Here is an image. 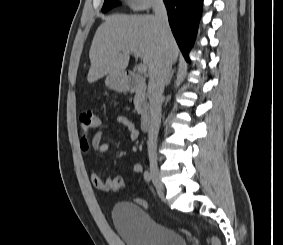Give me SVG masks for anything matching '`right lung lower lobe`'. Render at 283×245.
I'll return each instance as SVG.
<instances>
[{
  "label": "right lung lower lobe",
  "instance_id": "98d812e1",
  "mask_svg": "<svg viewBox=\"0 0 283 245\" xmlns=\"http://www.w3.org/2000/svg\"><path fill=\"white\" fill-rule=\"evenodd\" d=\"M202 2L203 0H164L173 35L187 61L196 37Z\"/></svg>",
  "mask_w": 283,
  "mask_h": 245
}]
</instances>
